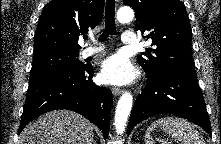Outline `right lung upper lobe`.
<instances>
[{
	"label": "right lung upper lobe",
	"mask_w": 221,
	"mask_h": 144,
	"mask_svg": "<svg viewBox=\"0 0 221 144\" xmlns=\"http://www.w3.org/2000/svg\"><path fill=\"white\" fill-rule=\"evenodd\" d=\"M104 0H52L42 11L34 39L35 53L79 52V36L102 20Z\"/></svg>",
	"instance_id": "cb5924a9"
}]
</instances>
